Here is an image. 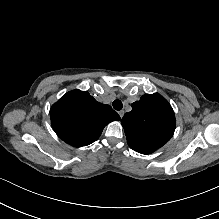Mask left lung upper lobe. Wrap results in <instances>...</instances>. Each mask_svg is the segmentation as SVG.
<instances>
[{"label": "left lung upper lobe", "instance_id": "5c2ea615", "mask_svg": "<svg viewBox=\"0 0 219 219\" xmlns=\"http://www.w3.org/2000/svg\"><path fill=\"white\" fill-rule=\"evenodd\" d=\"M128 145L141 154H150L172 137L176 120L168 101L160 94H145L132 103L121 120Z\"/></svg>", "mask_w": 219, "mask_h": 219}]
</instances>
